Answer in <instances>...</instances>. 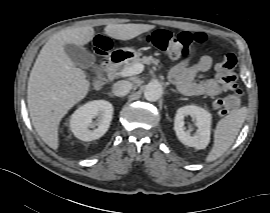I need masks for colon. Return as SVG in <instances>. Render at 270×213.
Instances as JSON below:
<instances>
[{
	"label": "colon",
	"mask_w": 270,
	"mask_h": 213,
	"mask_svg": "<svg viewBox=\"0 0 270 213\" xmlns=\"http://www.w3.org/2000/svg\"><path fill=\"white\" fill-rule=\"evenodd\" d=\"M96 50L101 56L109 49V40L102 34L95 35ZM147 42L155 48L166 52L171 57H190L201 54L204 50L214 53L217 40L208 38L205 33L195 34L189 32L173 33L168 30L158 29L148 36ZM236 58L233 54L226 55L222 61L218 62L215 70L220 76L226 87L231 88L232 92L217 99L215 105L222 114L233 111L240 103L242 90L234 85L237 75L234 71ZM93 80L99 82V75H93Z\"/></svg>",
	"instance_id": "5ec220e1"
}]
</instances>
